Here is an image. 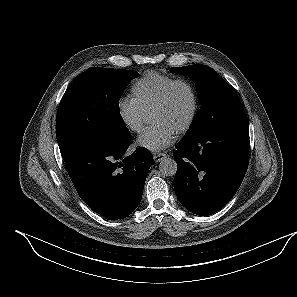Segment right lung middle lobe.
I'll return each mask as SVG.
<instances>
[{"instance_id": "obj_1", "label": "right lung middle lobe", "mask_w": 297, "mask_h": 297, "mask_svg": "<svg viewBox=\"0 0 297 297\" xmlns=\"http://www.w3.org/2000/svg\"><path fill=\"white\" fill-rule=\"evenodd\" d=\"M137 76L135 71L92 67L71 83L56 118V138L64 161L94 142L131 135L120 114L119 100Z\"/></svg>"}]
</instances>
